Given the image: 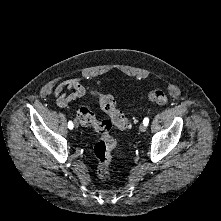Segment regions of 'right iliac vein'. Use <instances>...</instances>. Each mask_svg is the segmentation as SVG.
Instances as JSON below:
<instances>
[{
  "instance_id": "right-iliac-vein-1",
  "label": "right iliac vein",
  "mask_w": 221,
  "mask_h": 221,
  "mask_svg": "<svg viewBox=\"0 0 221 221\" xmlns=\"http://www.w3.org/2000/svg\"><path fill=\"white\" fill-rule=\"evenodd\" d=\"M74 126L77 128L78 127V122L74 121Z\"/></svg>"
}]
</instances>
